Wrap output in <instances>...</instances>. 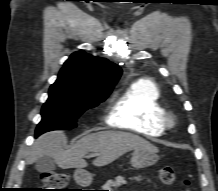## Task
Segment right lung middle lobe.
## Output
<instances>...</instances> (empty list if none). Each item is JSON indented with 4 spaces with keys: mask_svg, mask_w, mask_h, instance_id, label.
<instances>
[{
    "mask_svg": "<svg viewBox=\"0 0 218 191\" xmlns=\"http://www.w3.org/2000/svg\"><path fill=\"white\" fill-rule=\"evenodd\" d=\"M108 95H83L68 90L57 83L51 85L49 97L41 111L42 120L36 128V137L44 132L76 127L80 115L99 103Z\"/></svg>",
    "mask_w": 218,
    "mask_h": 191,
    "instance_id": "right-lung-middle-lobe-1",
    "label": "right lung middle lobe"
}]
</instances>
